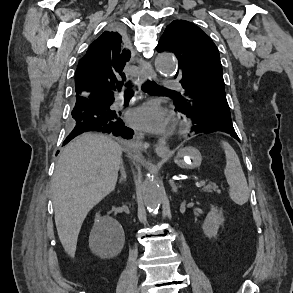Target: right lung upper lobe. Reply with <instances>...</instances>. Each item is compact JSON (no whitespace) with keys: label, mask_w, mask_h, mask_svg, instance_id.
<instances>
[{"label":"right lung upper lobe","mask_w":293,"mask_h":293,"mask_svg":"<svg viewBox=\"0 0 293 293\" xmlns=\"http://www.w3.org/2000/svg\"><path fill=\"white\" fill-rule=\"evenodd\" d=\"M130 59L119 30L104 31L79 61L75 74L76 96L113 95L126 80L123 69Z\"/></svg>","instance_id":"cb5924a9"}]
</instances>
